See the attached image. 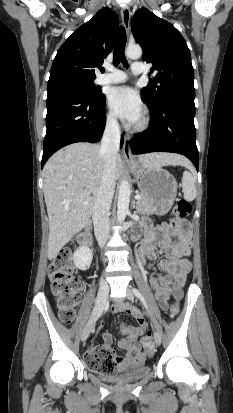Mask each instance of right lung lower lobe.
Here are the masks:
<instances>
[{"label": "right lung lower lobe", "mask_w": 233, "mask_h": 413, "mask_svg": "<svg viewBox=\"0 0 233 413\" xmlns=\"http://www.w3.org/2000/svg\"><path fill=\"white\" fill-rule=\"evenodd\" d=\"M105 121V97L101 102H94L72 91L49 93L41 168L53 153L66 145L98 142Z\"/></svg>", "instance_id": "right-lung-lower-lobe-1"}]
</instances>
